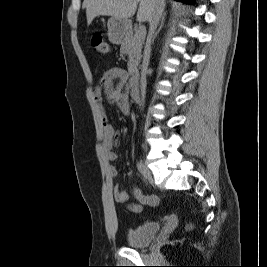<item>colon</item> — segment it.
Here are the masks:
<instances>
[{
  "label": "colon",
  "instance_id": "obj_1",
  "mask_svg": "<svg viewBox=\"0 0 267 267\" xmlns=\"http://www.w3.org/2000/svg\"><path fill=\"white\" fill-rule=\"evenodd\" d=\"M92 45L100 55H106L110 52L109 43L99 34L92 38Z\"/></svg>",
  "mask_w": 267,
  "mask_h": 267
}]
</instances>
